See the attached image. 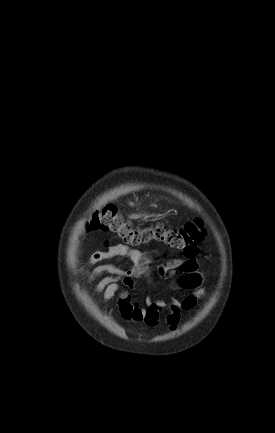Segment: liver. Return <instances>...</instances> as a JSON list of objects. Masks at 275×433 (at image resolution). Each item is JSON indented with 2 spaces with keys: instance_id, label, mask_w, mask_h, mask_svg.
<instances>
[{
  "instance_id": "obj_1",
  "label": "liver",
  "mask_w": 275,
  "mask_h": 433,
  "mask_svg": "<svg viewBox=\"0 0 275 433\" xmlns=\"http://www.w3.org/2000/svg\"><path fill=\"white\" fill-rule=\"evenodd\" d=\"M139 216H133L132 218H138Z\"/></svg>"
}]
</instances>
